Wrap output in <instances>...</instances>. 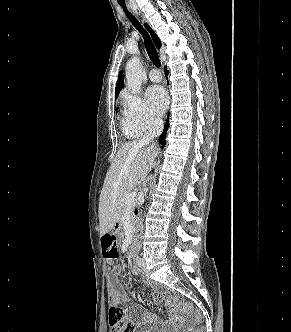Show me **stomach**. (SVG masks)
<instances>
[{
    "label": "stomach",
    "mask_w": 291,
    "mask_h": 332,
    "mask_svg": "<svg viewBox=\"0 0 291 332\" xmlns=\"http://www.w3.org/2000/svg\"><path fill=\"white\" fill-rule=\"evenodd\" d=\"M117 227H118V224H115V225H114V228H117Z\"/></svg>",
    "instance_id": "0dacf381"
}]
</instances>
